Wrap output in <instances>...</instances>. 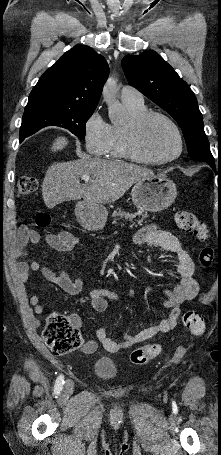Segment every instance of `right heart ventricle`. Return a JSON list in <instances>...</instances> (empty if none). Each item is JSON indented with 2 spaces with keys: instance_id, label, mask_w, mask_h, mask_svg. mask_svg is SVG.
Masks as SVG:
<instances>
[{
  "instance_id": "right-heart-ventricle-1",
  "label": "right heart ventricle",
  "mask_w": 221,
  "mask_h": 455,
  "mask_svg": "<svg viewBox=\"0 0 221 455\" xmlns=\"http://www.w3.org/2000/svg\"><path fill=\"white\" fill-rule=\"evenodd\" d=\"M130 114V121L126 125H111L110 136L107 147V156L112 159H126L139 162H146L145 160L133 155L128 146L126 138V130L130 122L146 112V107L143 105L136 106L125 103Z\"/></svg>"
}]
</instances>
